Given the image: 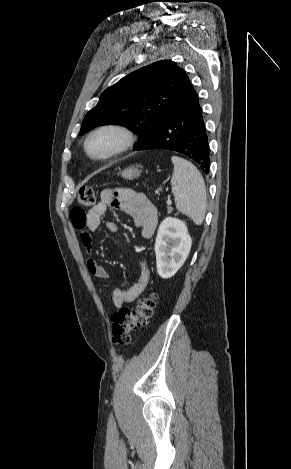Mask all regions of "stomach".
<instances>
[{"label": "stomach", "instance_id": "stomach-1", "mask_svg": "<svg viewBox=\"0 0 291 469\" xmlns=\"http://www.w3.org/2000/svg\"><path fill=\"white\" fill-rule=\"evenodd\" d=\"M121 175L125 179L132 180V179L136 178L139 175V170L137 168H134V167H128V168H126L125 170L122 171Z\"/></svg>", "mask_w": 291, "mask_h": 469}]
</instances>
